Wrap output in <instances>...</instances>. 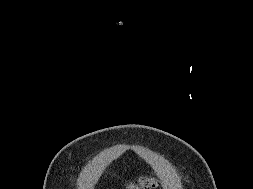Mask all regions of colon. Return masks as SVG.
Listing matches in <instances>:
<instances>
[{"label":"colon","instance_id":"colon-1","mask_svg":"<svg viewBox=\"0 0 253 189\" xmlns=\"http://www.w3.org/2000/svg\"><path fill=\"white\" fill-rule=\"evenodd\" d=\"M155 187L156 180L154 178L144 177L130 183L126 189H154Z\"/></svg>","mask_w":253,"mask_h":189}]
</instances>
